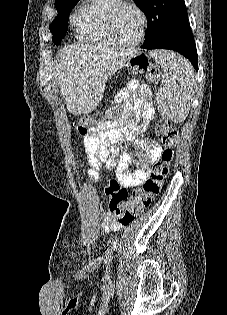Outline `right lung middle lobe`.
Here are the masks:
<instances>
[{"mask_svg": "<svg viewBox=\"0 0 227 315\" xmlns=\"http://www.w3.org/2000/svg\"><path fill=\"white\" fill-rule=\"evenodd\" d=\"M79 0L56 1L58 15L50 24L49 29L53 34V43L59 45L68 30V19L70 10L75 7Z\"/></svg>", "mask_w": 227, "mask_h": 315, "instance_id": "1", "label": "right lung middle lobe"}]
</instances>
